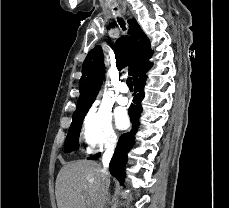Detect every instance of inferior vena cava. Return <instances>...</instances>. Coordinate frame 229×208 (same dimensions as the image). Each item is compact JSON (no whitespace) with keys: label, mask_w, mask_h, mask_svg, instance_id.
I'll return each mask as SVG.
<instances>
[{"label":"inferior vena cava","mask_w":229,"mask_h":208,"mask_svg":"<svg viewBox=\"0 0 229 208\" xmlns=\"http://www.w3.org/2000/svg\"><path fill=\"white\" fill-rule=\"evenodd\" d=\"M112 156H113L112 148H111V150H106V152H104V154L102 156L103 168L101 170V176H102V178H105L106 182H104V184H102V186H101V206H100V208H103L104 204H106V196H107V190H108V186H109L108 168H109V162H110Z\"/></svg>","instance_id":"602c4592"}]
</instances>
